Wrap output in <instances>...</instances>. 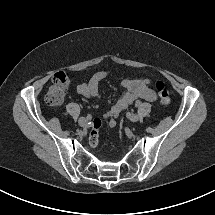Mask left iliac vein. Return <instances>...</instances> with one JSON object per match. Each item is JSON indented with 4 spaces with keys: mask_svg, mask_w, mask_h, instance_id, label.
Listing matches in <instances>:
<instances>
[{
    "mask_svg": "<svg viewBox=\"0 0 215 215\" xmlns=\"http://www.w3.org/2000/svg\"><path fill=\"white\" fill-rule=\"evenodd\" d=\"M128 118H129V120H130L131 122H137V121L140 120V116L137 115V114H130V115L128 116Z\"/></svg>",
    "mask_w": 215,
    "mask_h": 215,
    "instance_id": "4c4485c4",
    "label": "left iliac vein"
}]
</instances>
